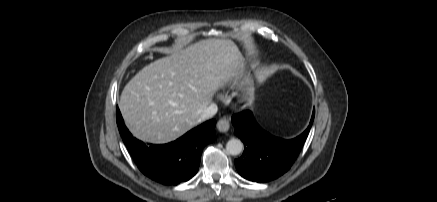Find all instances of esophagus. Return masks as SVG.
Returning a JSON list of instances; mask_svg holds the SVG:
<instances>
[{"mask_svg":"<svg viewBox=\"0 0 437 202\" xmlns=\"http://www.w3.org/2000/svg\"><path fill=\"white\" fill-rule=\"evenodd\" d=\"M229 128H230V121H229L228 118H226V117L221 118V119L217 122V129H218L220 132L225 133V132H227V131L229 130Z\"/></svg>","mask_w":437,"mask_h":202,"instance_id":"obj_1","label":"esophagus"}]
</instances>
